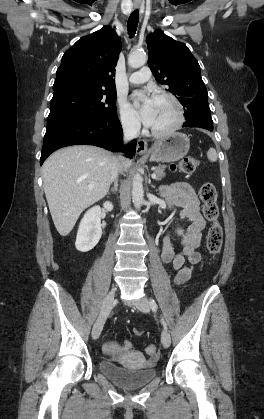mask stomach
Instances as JSON below:
<instances>
[{
  "label": "stomach",
  "mask_w": 264,
  "mask_h": 419,
  "mask_svg": "<svg viewBox=\"0 0 264 419\" xmlns=\"http://www.w3.org/2000/svg\"><path fill=\"white\" fill-rule=\"evenodd\" d=\"M190 148V139L183 133L175 132L167 138L157 141L150 149L151 161L174 162L183 158Z\"/></svg>",
  "instance_id": "0dacf381"
}]
</instances>
